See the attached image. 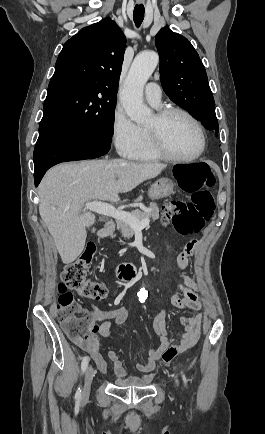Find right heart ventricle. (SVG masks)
Here are the masks:
<instances>
[{
  "instance_id": "e07e8e85",
  "label": "right heart ventricle",
  "mask_w": 265,
  "mask_h": 434,
  "mask_svg": "<svg viewBox=\"0 0 265 434\" xmlns=\"http://www.w3.org/2000/svg\"><path fill=\"white\" fill-rule=\"evenodd\" d=\"M141 128L142 142L137 148L136 153L131 154L129 159L140 162H159L165 160V158L157 152L154 146L153 137L149 127L143 126Z\"/></svg>"
}]
</instances>
